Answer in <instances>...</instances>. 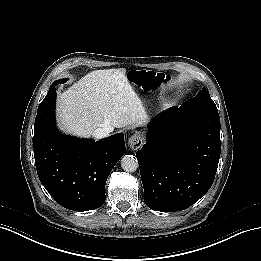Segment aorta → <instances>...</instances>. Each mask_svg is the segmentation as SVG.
<instances>
[{"label": "aorta", "mask_w": 261, "mask_h": 261, "mask_svg": "<svg viewBox=\"0 0 261 261\" xmlns=\"http://www.w3.org/2000/svg\"><path fill=\"white\" fill-rule=\"evenodd\" d=\"M121 167L125 172L133 173L138 168V160L133 155H125L121 158Z\"/></svg>", "instance_id": "obj_1"}]
</instances>
